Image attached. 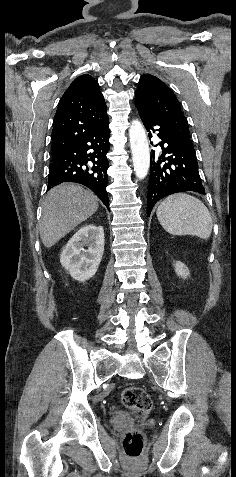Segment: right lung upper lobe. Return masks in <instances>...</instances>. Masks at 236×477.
Instances as JSON below:
<instances>
[{
	"label": "right lung upper lobe",
	"instance_id": "cb5924a9",
	"mask_svg": "<svg viewBox=\"0 0 236 477\" xmlns=\"http://www.w3.org/2000/svg\"><path fill=\"white\" fill-rule=\"evenodd\" d=\"M108 122L98 82L90 75L76 78L63 94L53 122L52 157Z\"/></svg>",
	"mask_w": 236,
	"mask_h": 477
}]
</instances>
